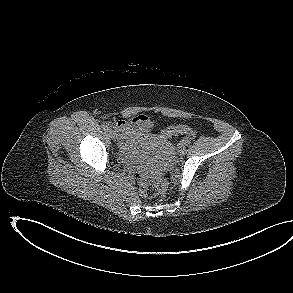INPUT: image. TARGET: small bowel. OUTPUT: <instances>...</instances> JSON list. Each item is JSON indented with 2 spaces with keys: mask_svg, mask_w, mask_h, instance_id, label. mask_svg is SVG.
<instances>
[{
  "mask_svg": "<svg viewBox=\"0 0 293 293\" xmlns=\"http://www.w3.org/2000/svg\"><path fill=\"white\" fill-rule=\"evenodd\" d=\"M150 125L149 119L144 115L134 117L130 121L119 120L115 123L116 130L122 139L128 138L132 134H139Z\"/></svg>",
  "mask_w": 293,
  "mask_h": 293,
  "instance_id": "1",
  "label": "small bowel"
}]
</instances>
